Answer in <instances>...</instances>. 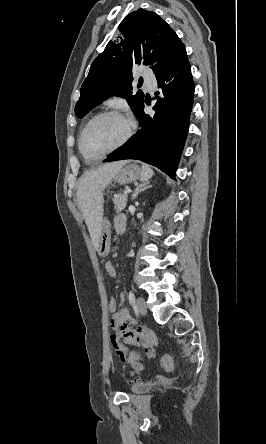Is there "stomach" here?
Listing matches in <instances>:
<instances>
[{
	"mask_svg": "<svg viewBox=\"0 0 266 444\" xmlns=\"http://www.w3.org/2000/svg\"><path fill=\"white\" fill-rule=\"evenodd\" d=\"M143 178V170L136 163H127L118 171L114 177V181L124 185ZM101 234L99 240L98 251L100 254L105 255L107 253V248L103 250V243L107 246L110 244L111 231L110 224L107 220L102 221Z\"/></svg>",
	"mask_w": 266,
	"mask_h": 444,
	"instance_id": "1",
	"label": "stomach"
}]
</instances>
